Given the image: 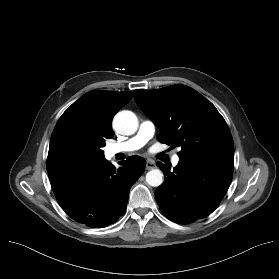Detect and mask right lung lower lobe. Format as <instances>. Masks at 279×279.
<instances>
[{
    "mask_svg": "<svg viewBox=\"0 0 279 279\" xmlns=\"http://www.w3.org/2000/svg\"><path fill=\"white\" fill-rule=\"evenodd\" d=\"M118 169L105 157L94 162L48 173L62 209L89 227H106L126 211L131 186L145 170L146 161L128 157Z\"/></svg>",
    "mask_w": 279,
    "mask_h": 279,
    "instance_id": "1",
    "label": "right lung lower lobe"
}]
</instances>
